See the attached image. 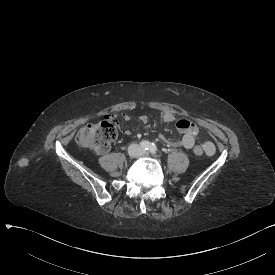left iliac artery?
<instances>
[{
  "label": "left iliac artery",
  "instance_id": "obj_1",
  "mask_svg": "<svg viewBox=\"0 0 275 275\" xmlns=\"http://www.w3.org/2000/svg\"><path fill=\"white\" fill-rule=\"evenodd\" d=\"M148 150H149L150 153L154 154V153L157 152V147L154 143H151Z\"/></svg>",
  "mask_w": 275,
  "mask_h": 275
}]
</instances>
